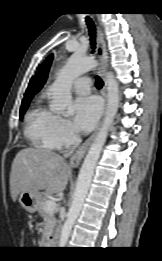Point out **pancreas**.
Returning <instances> with one entry per match:
<instances>
[{
    "mask_svg": "<svg viewBox=\"0 0 162 261\" xmlns=\"http://www.w3.org/2000/svg\"><path fill=\"white\" fill-rule=\"evenodd\" d=\"M48 200L49 198L47 196L42 197L38 207V213L43 218V232L41 238V243L43 245L50 243V237L53 236L58 222L54 216L55 212H47L45 210V204Z\"/></svg>",
    "mask_w": 162,
    "mask_h": 261,
    "instance_id": "obj_1",
    "label": "pancreas"
}]
</instances>
